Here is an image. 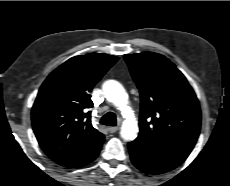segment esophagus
<instances>
[{
    "instance_id": "obj_1",
    "label": "esophagus",
    "mask_w": 230,
    "mask_h": 186,
    "mask_svg": "<svg viewBox=\"0 0 230 186\" xmlns=\"http://www.w3.org/2000/svg\"><path fill=\"white\" fill-rule=\"evenodd\" d=\"M119 126H116V127H109L108 128V131L110 132V133H115V132H117L118 130H119Z\"/></svg>"
}]
</instances>
